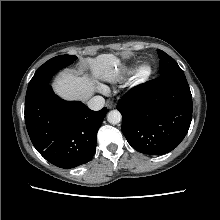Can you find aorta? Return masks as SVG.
Here are the masks:
<instances>
[{
  "instance_id": "762f6f07",
  "label": "aorta",
  "mask_w": 220,
  "mask_h": 220,
  "mask_svg": "<svg viewBox=\"0 0 220 220\" xmlns=\"http://www.w3.org/2000/svg\"><path fill=\"white\" fill-rule=\"evenodd\" d=\"M122 116L118 110H112L107 114V120L111 124H117L121 121Z\"/></svg>"
}]
</instances>
